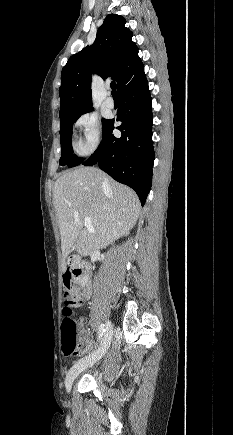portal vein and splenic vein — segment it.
Returning <instances> with one entry per match:
<instances>
[{"mask_svg": "<svg viewBox=\"0 0 233 435\" xmlns=\"http://www.w3.org/2000/svg\"><path fill=\"white\" fill-rule=\"evenodd\" d=\"M84 226L90 231L94 232V228L92 227L90 218L86 217L84 218Z\"/></svg>", "mask_w": 233, "mask_h": 435, "instance_id": "obj_1", "label": "portal vein and splenic vein"}]
</instances>
